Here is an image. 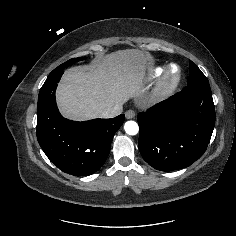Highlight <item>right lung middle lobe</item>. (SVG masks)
<instances>
[{"label": "right lung middle lobe", "instance_id": "1", "mask_svg": "<svg viewBox=\"0 0 236 236\" xmlns=\"http://www.w3.org/2000/svg\"><path fill=\"white\" fill-rule=\"evenodd\" d=\"M85 57H78V58H73V59H70L68 60L67 62L61 64L60 66H58L56 69H54L50 74H53L57 71H60V70H63L65 69L66 67L74 64L75 62H78V61H81V60H84Z\"/></svg>", "mask_w": 236, "mask_h": 236}]
</instances>
